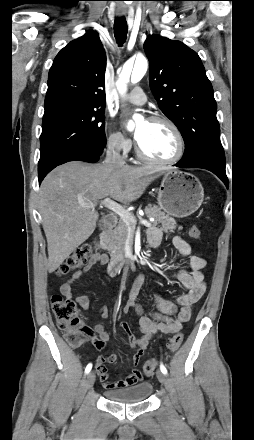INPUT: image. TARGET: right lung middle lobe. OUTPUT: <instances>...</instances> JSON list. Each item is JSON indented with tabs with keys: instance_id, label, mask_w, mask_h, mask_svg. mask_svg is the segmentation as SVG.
<instances>
[{
	"instance_id": "dd1d6c3e",
	"label": "right lung middle lobe",
	"mask_w": 254,
	"mask_h": 440,
	"mask_svg": "<svg viewBox=\"0 0 254 440\" xmlns=\"http://www.w3.org/2000/svg\"><path fill=\"white\" fill-rule=\"evenodd\" d=\"M103 108L60 102L45 108L38 174L79 151H100L105 143Z\"/></svg>"
}]
</instances>
